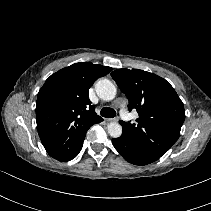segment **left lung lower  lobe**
<instances>
[{
  "mask_svg": "<svg viewBox=\"0 0 211 211\" xmlns=\"http://www.w3.org/2000/svg\"><path fill=\"white\" fill-rule=\"evenodd\" d=\"M112 143L125 160L135 165H147L158 158L148 153L138 142L128 136L123 130L119 138H113Z\"/></svg>",
  "mask_w": 211,
  "mask_h": 211,
  "instance_id": "1",
  "label": "left lung lower lobe"
}]
</instances>
